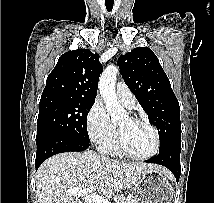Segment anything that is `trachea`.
I'll list each match as a JSON object with an SVG mask.
<instances>
[{
  "label": "trachea",
  "instance_id": "trachea-1",
  "mask_svg": "<svg viewBox=\"0 0 214 203\" xmlns=\"http://www.w3.org/2000/svg\"><path fill=\"white\" fill-rule=\"evenodd\" d=\"M105 5H106V9H107L108 12L112 11L113 3L112 4L106 3Z\"/></svg>",
  "mask_w": 214,
  "mask_h": 203
}]
</instances>
